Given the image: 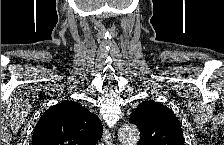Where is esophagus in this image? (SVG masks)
I'll list each match as a JSON object with an SVG mask.
<instances>
[{"instance_id":"34e87169","label":"esophagus","mask_w":224,"mask_h":145,"mask_svg":"<svg viewBox=\"0 0 224 145\" xmlns=\"http://www.w3.org/2000/svg\"><path fill=\"white\" fill-rule=\"evenodd\" d=\"M103 140L105 141V143L107 145H112L113 144V139L111 137V133L106 128L103 131Z\"/></svg>"}]
</instances>
